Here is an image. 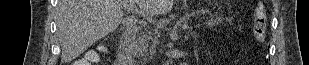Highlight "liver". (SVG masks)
Listing matches in <instances>:
<instances>
[{
  "instance_id": "6515ba94",
  "label": "liver",
  "mask_w": 309,
  "mask_h": 65,
  "mask_svg": "<svg viewBox=\"0 0 309 65\" xmlns=\"http://www.w3.org/2000/svg\"><path fill=\"white\" fill-rule=\"evenodd\" d=\"M135 4L152 17L168 13L173 0H58L56 24L62 60L75 59L121 24L135 26L138 18H124L123 11L126 5L131 10Z\"/></svg>"
}]
</instances>
